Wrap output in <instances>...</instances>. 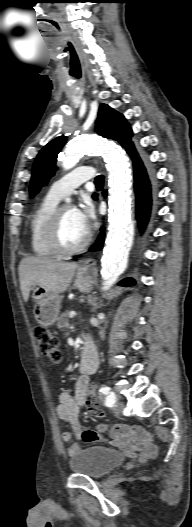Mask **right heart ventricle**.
I'll return each mask as SVG.
<instances>
[{
    "mask_svg": "<svg viewBox=\"0 0 192 527\" xmlns=\"http://www.w3.org/2000/svg\"><path fill=\"white\" fill-rule=\"evenodd\" d=\"M58 202V198L47 195L30 219L31 249L38 257L51 258L57 255L49 242V230L54 213L58 208Z\"/></svg>",
    "mask_w": 192,
    "mask_h": 527,
    "instance_id": "obj_1",
    "label": "right heart ventricle"
}]
</instances>
